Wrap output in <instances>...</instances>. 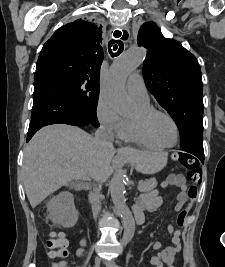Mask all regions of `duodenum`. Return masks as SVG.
I'll use <instances>...</instances> for the list:
<instances>
[{
	"mask_svg": "<svg viewBox=\"0 0 225 267\" xmlns=\"http://www.w3.org/2000/svg\"><path fill=\"white\" fill-rule=\"evenodd\" d=\"M143 223V215L141 212H137L135 208V219L133 221V224L140 225Z\"/></svg>",
	"mask_w": 225,
	"mask_h": 267,
	"instance_id": "duodenum-1",
	"label": "duodenum"
}]
</instances>
